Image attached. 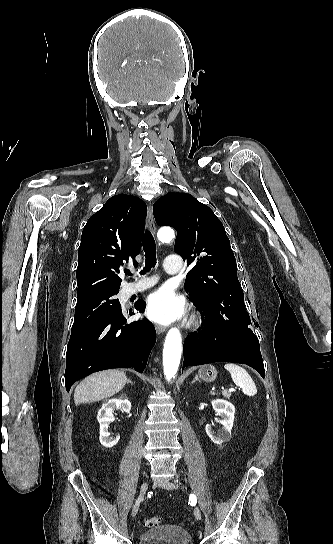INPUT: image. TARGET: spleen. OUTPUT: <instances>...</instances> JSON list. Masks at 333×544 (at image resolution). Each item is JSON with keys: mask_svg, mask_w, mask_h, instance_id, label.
Wrapping results in <instances>:
<instances>
[{"mask_svg": "<svg viewBox=\"0 0 333 544\" xmlns=\"http://www.w3.org/2000/svg\"><path fill=\"white\" fill-rule=\"evenodd\" d=\"M224 368L230 373L233 382L242 389L244 394L254 396L257 393L255 383L244 368L233 363L225 364Z\"/></svg>", "mask_w": 333, "mask_h": 544, "instance_id": "1", "label": "spleen"}]
</instances>
